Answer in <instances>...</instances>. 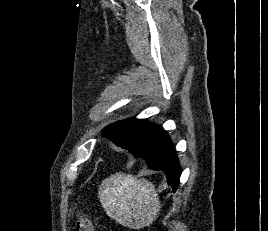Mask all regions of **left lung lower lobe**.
I'll use <instances>...</instances> for the list:
<instances>
[{"instance_id":"left-lung-lower-lobe-1","label":"left lung lower lobe","mask_w":268,"mask_h":231,"mask_svg":"<svg viewBox=\"0 0 268 231\" xmlns=\"http://www.w3.org/2000/svg\"><path fill=\"white\" fill-rule=\"evenodd\" d=\"M128 150L135 158H143L150 169L165 172L168 184L174 192L177 190L181 171L172 141L165 130L160 127L147 142L131 146Z\"/></svg>"}]
</instances>
